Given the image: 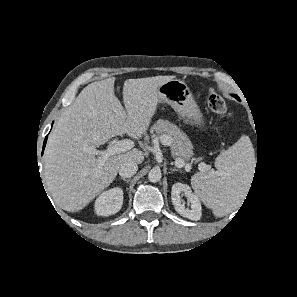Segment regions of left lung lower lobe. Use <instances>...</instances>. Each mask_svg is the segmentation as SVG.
Returning a JSON list of instances; mask_svg holds the SVG:
<instances>
[{"mask_svg": "<svg viewBox=\"0 0 297 297\" xmlns=\"http://www.w3.org/2000/svg\"><path fill=\"white\" fill-rule=\"evenodd\" d=\"M233 96L239 100V97L237 95H233Z\"/></svg>", "mask_w": 297, "mask_h": 297, "instance_id": "0a47b994", "label": "left lung lower lobe"}]
</instances>
